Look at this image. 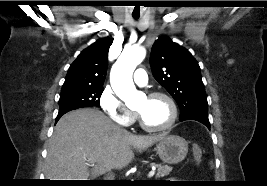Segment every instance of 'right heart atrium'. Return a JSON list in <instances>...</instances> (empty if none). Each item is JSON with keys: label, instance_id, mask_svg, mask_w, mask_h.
Listing matches in <instances>:
<instances>
[{"label": "right heart atrium", "instance_id": "1", "mask_svg": "<svg viewBox=\"0 0 267 186\" xmlns=\"http://www.w3.org/2000/svg\"><path fill=\"white\" fill-rule=\"evenodd\" d=\"M99 104L107 116L121 126H130L135 119L134 112L125 106L110 86L102 90Z\"/></svg>", "mask_w": 267, "mask_h": 186}]
</instances>
